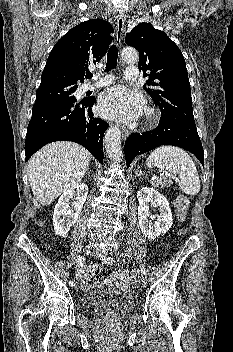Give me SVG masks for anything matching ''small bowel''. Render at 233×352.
Listing matches in <instances>:
<instances>
[{
    "label": "small bowel",
    "mask_w": 233,
    "mask_h": 352,
    "mask_svg": "<svg viewBox=\"0 0 233 352\" xmlns=\"http://www.w3.org/2000/svg\"><path fill=\"white\" fill-rule=\"evenodd\" d=\"M76 276L79 280H82L83 279V276H84V270L82 268V266H80V268L78 269L77 273H76Z\"/></svg>",
    "instance_id": "1"
}]
</instances>
